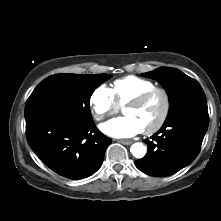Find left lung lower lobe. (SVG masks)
I'll return each mask as SVG.
<instances>
[{"label": "left lung lower lobe", "mask_w": 221, "mask_h": 221, "mask_svg": "<svg viewBox=\"0 0 221 221\" xmlns=\"http://www.w3.org/2000/svg\"><path fill=\"white\" fill-rule=\"evenodd\" d=\"M209 124L207 102L188 105L170 117L146 139L147 154L136 167L150 176L163 177L189 165L198 155Z\"/></svg>", "instance_id": "0a47b994"}]
</instances>
